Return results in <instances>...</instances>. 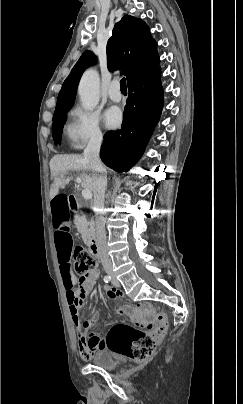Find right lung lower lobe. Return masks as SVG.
<instances>
[{
  "instance_id": "right-lung-lower-lobe-1",
  "label": "right lung lower lobe",
  "mask_w": 243,
  "mask_h": 404,
  "mask_svg": "<svg viewBox=\"0 0 243 404\" xmlns=\"http://www.w3.org/2000/svg\"><path fill=\"white\" fill-rule=\"evenodd\" d=\"M160 67L128 84L122 128L108 131L101 159L117 172L128 171L141 157L163 108Z\"/></svg>"
}]
</instances>
